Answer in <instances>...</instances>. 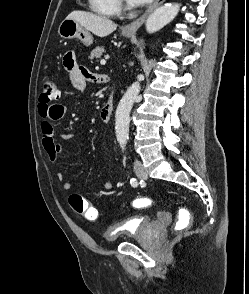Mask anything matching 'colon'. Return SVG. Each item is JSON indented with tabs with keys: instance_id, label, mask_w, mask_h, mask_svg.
<instances>
[{
	"instance_id": "1",
	"label": "colon",
	"mask_w": 249,
	"mask_h": 294,
	"mask_svg": "<svg viewBox=\"0 0 249 294\" xmlns=\"http://www.w3.org/2000/svg\"><path fill=\"white\" fill-rule=\"evenodd\" d=\"M59 98V88L55 81L51 78H44L42 81V93L40 100L43 103H49ZM69 203L74 212L89 221L98 219V212L91 203L78 194H73L69 197ZM154 200L150 198H138L132 202L134 208H146L154 205ZM188 220L177 221L173 227L175 231L182 230L187 226Z\"/></svg>"
}]
</instances>
